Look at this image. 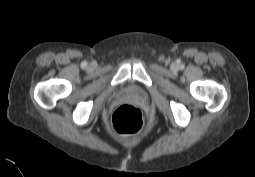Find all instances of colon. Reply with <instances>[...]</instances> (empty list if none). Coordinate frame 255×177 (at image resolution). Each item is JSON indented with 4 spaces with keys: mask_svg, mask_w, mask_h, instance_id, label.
Here are the masks:
<instances>
[{
    "mask_svg": "<svg viewBox=\"0 0 255 177\" xmlns=\"http://www.w3.org/2000/svg\"><path fill=\"white\" fill-rule=\"evenodd\" d=\"M111 125L113 130L119 134H135L143 125L142 114L137 107L131 104L121 105L112 114Z\"/></svg>",
    "mask_w": 255,
    "mask_h": 177,
    "instance_id": "5ec220e1",
    "label": "colon"
}]
</instances>
